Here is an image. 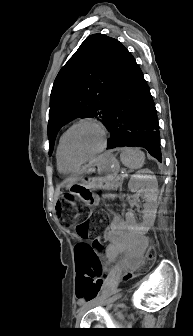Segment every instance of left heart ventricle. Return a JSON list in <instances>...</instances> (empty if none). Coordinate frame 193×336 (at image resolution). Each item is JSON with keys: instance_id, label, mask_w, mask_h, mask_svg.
I'll return each instance as SVG.
<instances>
[{"instance_id": "obj_1", "label": "left heart ventricle", "mask_w": 193, "mask_h": 336, "mask_svg": "<svg viewBox=\"0 0 193 336\" xmlns=\"http://www.w3.org/2000/svg\"><path fill=\"white\" fill-rule=\"evenodd\" d=\"M102 141L103 135L97 127L82 124L70 132L67 138V149L74 158H82L97 151Z\"/></svg>"}]
</instances>
